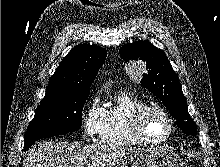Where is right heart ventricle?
<instances>
[{
	"instance_id": "obj_1",
	"label": "right heart ventricle",
	"mask_w": 220,
	"mask_h": 167,
	"mask_svg": "<svg viewBox=\"0 0 220 167\" xmlns=\"http://www.w3.org/2000/svg\"><path fill=\"white\" fill-rule=\"evenodd\" d=\"M147 103L130 92H121L115 103L104 112L100 142L110 146L141 145L132 122L135 113Z\"/></svg>"
}]
</instances>
